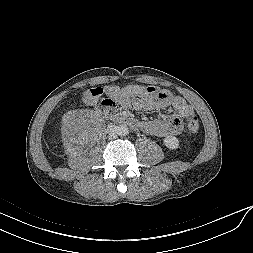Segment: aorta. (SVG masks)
<instances>
[{"instance_id": "obj_1", "label": "aorta", "mask_w": 253, "mask_h": 253, "mask_svg": "<svg viewBox=\"0 0 253 253\" xmlns=\"http://www.w3.org/2000/svg\"><path fill=\"white\" fill-rule=\"evenodd\" d=\"M115 133L118 136H126L129 133L128 127L124 124H120L115 127Z\"/></svg>"}]
</instances>
